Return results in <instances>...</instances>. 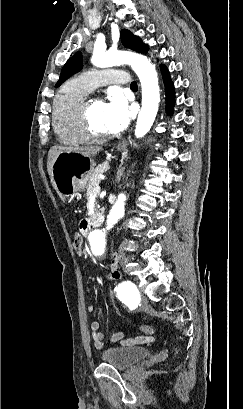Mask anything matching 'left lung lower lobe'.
I'll list each match as a JSON object with an SVG mask.
<instances>
[{"instance_id": "obj_1", "label": "left lung lower lobe", "mask_w": 243, "mask_h": 409, "mask_svg": "<svg viewBox=\"0 0 243 409\" xmlns=\"http://www.w3.org/2000/svg\"><path fill=\"white\" fill-rule=\"evenodd\" d=\"M160 67H161V72L163 75V80H164L165 90H166V110L167 112H171V109L174 105V97H175L174 86L170 79L168 69L163 65H161Z\"/></svg>"}]
</instances>
